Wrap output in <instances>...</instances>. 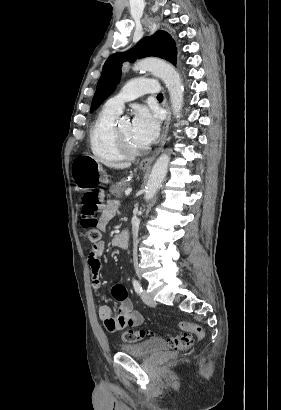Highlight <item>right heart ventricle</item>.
I'll list each match as a JSON object with an SVG mask.
<instances>
[{
	"label": "right heart ventricle",
	"mask_w": 281,
	"mask_h": 410,
	"mask_svg": "<svg viewBox=\"0 0 281 410\" xmlns=\"http://www.w3.org/2000/svg\"><path fill=\"white\" fill-rule=\"evenodd\" d=\"M119 112L104 106L96 116L89 131V145L92 154L105 162H116L125 158L113 138V127Z\"/></svg>",
	"instance_id": "e07e8e85"
}]
</instances>
